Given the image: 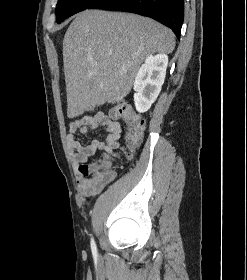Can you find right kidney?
I'll list each match as a JSON object with an SVG mask.
<instances>
[{
  "label": "right kidney",
  "instance_id": "right-kidney-1",
  "mask_svg": "<svg viewBox=\"0 0 247 280\" xmlns=\"http://www.w3.org/2000/svg\"><path fill=\"white\" fill-rule=\"evenodd\" d=\"M168 56L149 55L138 70L134 81V102L139 113L146 112L158 97L164 83Z\"/></svg>",
  "mask_w": 247,
  "mask_h": 280
}]
</instances>
